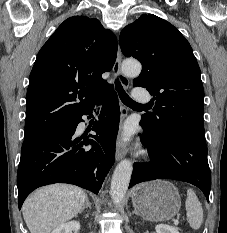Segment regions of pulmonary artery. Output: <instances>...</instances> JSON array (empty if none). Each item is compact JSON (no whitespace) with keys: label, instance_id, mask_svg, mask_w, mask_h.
Listing matches in <instances>:
<instances>
[{"label":"pulmonary artery","instance_id":"1","mask_svg":"<svg viewBox=\"0 0 227 233\" xmlns=\"http://www.w3.org/2000/svg\"><path fill=\"white\" fill-rule=\"evenodd\" d=\"M134 96L137 100H139L142 103H147L150 101V98L139 90L135 91Z\"/></svg>","mask_w":227,"mask_h":233}]
</instances>
